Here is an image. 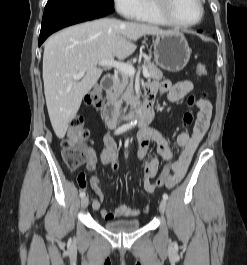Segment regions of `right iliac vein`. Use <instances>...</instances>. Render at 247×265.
Masks as SVG:
<instances>
[{
    "instance_id": "obj_1",
    "label": "right iliac vein",
    "mask_w": 247,
    "mask_h": 265,
    "mask_svg": "<svg viewBox=\"0 0 247 265\" xmlns=\"http://www.w3.org/2000/svg\"><path fill=\"white\" fill-rule=\"evenodd\" d=\"M88 204H89V199H88V197H83V198L81 199V207H82V208H86V207L88 206Z\"/></svg>"
}]
</instances>
